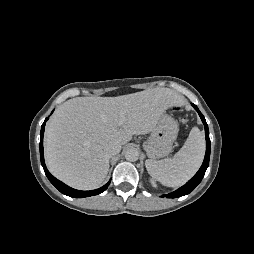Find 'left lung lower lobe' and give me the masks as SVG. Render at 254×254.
I'll list each match as a JSON object with an SVG mask.
<instances>
[{
    "label": "left lung lower lobe",
    "mask_w": 254,
    "mask_h": 254,
    "mask_svg": "<svg viewBox=\"0 0 254 254\" xmlns=\"http://www.w3.org/2000/svg\"><path fill=\"white\" fill-rule=\"evenodd\" d=\"M194 109L198 112L204 126H205V136H206V154L205 158L203 161L202 166L200 167L199 171L194 175L193 178H191L184 186L180 187L176 191L169 193V194H164L163 197L167 198H177L180 196H184L192 192L196 186L201 182L202 178L204 177V174L206 172V169L209 165V159H210V139H209V130H208V125L206 123V120L202 113L199 111L196 105L192 104Z\"/></svg>",
    "instance_id": "0a47b994"
}]
</instances>
